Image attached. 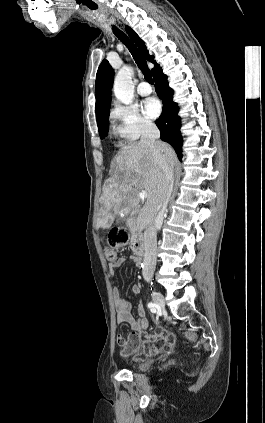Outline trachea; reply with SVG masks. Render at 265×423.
<instances>
[{"mask_svg":"<svg viewBox=\"0 0 265 423\" xmlns=\"http://www.w3.org/2000/svg\"><path fill=\"white\" fill-rule=\"evenodd\" d=\"M113 32L118 37V39L121 42H123L126 45V47L129 49L136 64L138 65L139 69L142 71L145 80L148 83L153 84L154 82L151 76V71L148 68L146 59L144 55L141 53V51L134 45V43L122 31H120L115 26H113Z\"/></svg>","mask_w":265,"mask_h":423,"instance_id":"3493384b","label":"trachea"}]
</instances>
